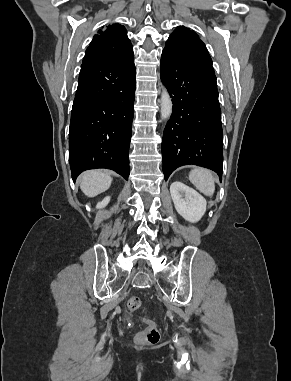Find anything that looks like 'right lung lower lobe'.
I'll return each instance as SVG.
<instances>
[{
    "instance_id": "obj_1",
    "label": "right lung lower lobe",
    "mask_w": 291,
    "mask_h": 381,
    "mask_svg": "<svg viewBox=\"0 0 291 381\" xmlns=\"http://www.w3.org/2000/svg\"><path fill=\"white\" fill-rule=\"evenodd\" d=\"M135 87L133 51L82 62L69 129L74 181L95 168L112 169L128 179Z\"/></svg>"
}]
</instances>
